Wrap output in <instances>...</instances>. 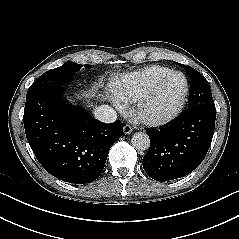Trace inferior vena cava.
Here are the masks:
<instances>
[{"instance_id":"obj_1","label":"inferior vena cava","mask_w":239,"mask_h":239,"mask_svg":"<svg viewBox=\"0 0 239 239\" xmlns=\"http://www.w3.org/2000/svg\"><path fill=\"white\" fill-rule=\"evenodd\" d=\"M94 117L103 123H113L117 119L116 111L108 105H101L95 108Z\"/></svg>"}]
</instances>
